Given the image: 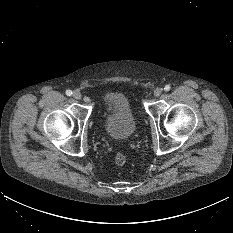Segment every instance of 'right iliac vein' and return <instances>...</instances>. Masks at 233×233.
<instances>
[{
	"mask_svg": "<svg viewBox=\"0 0 233 233\" xmlns=\"http://www.w3.org/2000/svg\"><path fill=\"white\" fill-rule=\"evenodd\" d=\"M73 97H74V99H76V100H80L81 97H82V95H81V93H80L79 91H75V92L73 93Z\"/></svg>",
	"mask_w": 233,
	"mask_h": 233,
	"instance_id": "right-iliac-vein-1",
	"label": "right iliac vein"
}]
</instances>
